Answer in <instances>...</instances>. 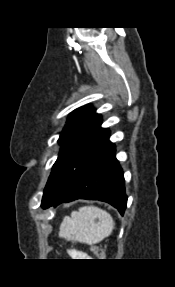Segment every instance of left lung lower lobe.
<instances>
[{
    "instance_id": "0a47b994",
    "label": "left lung lower lobe",
    "mask_w": 175,
    "mask_h": 287,
    "mask_svg": "<svg viewBox=\"0 0 175 287\" xmlns=\"http://www.w3.org/2000/svg\"><path fill=\"white\" fill-rule=\"evenodd\" d=\"M76 199H92L107 202L123 214L127 205L123 171L115 157V145L104 149L94 162L55 200L48 205L57 206Z\"/></svg>"
}]
</instances>
